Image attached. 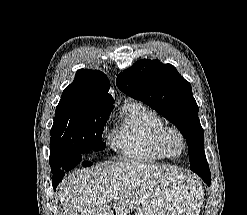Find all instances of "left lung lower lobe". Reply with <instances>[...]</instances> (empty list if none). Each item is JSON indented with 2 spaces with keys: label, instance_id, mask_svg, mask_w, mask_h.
<instances>
[{
  "label": "left lung lower lobe",
  "instance_id": "left-lung-lower-lobe-1",
  "mask_svg": "<svg viewBox=\"0 0 247 215\" xmlns=\"http://www.w3.org/2000/svg\"><path fill=\"white\" fill-rule=\"evenodd\" d=\"M192 171L195 172L196 174H198L207 185H210V183H211V173H210L207 161L202 162L200 164V166H197Z\"/></svg>",
  "mask_w": 247,
  "mask_h": 215
}]
</instances>
